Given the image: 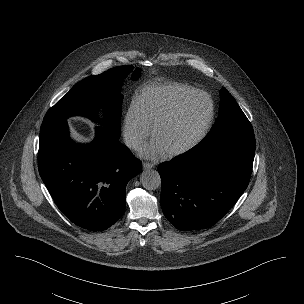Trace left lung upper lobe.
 <instances>
[{
	"label": "left lung upper lobe",
	"mask_w": 304,
	"mask_h": 304,
	"mask_svg": "<svg viewBox=\"0 0 304 304\" xmlns=\"http://www.w3.org/2000/svg\"><path fill=\"white\" fill-rule=\"evenodd\" d=\"M219 117L210 135L201 145L235 134H254L253 128L233 96L223 87ZM200 145V146H201Z\"/></svg>",
	"instance_id": "left-lung-upper-lobe-1"
}]
</instances>
